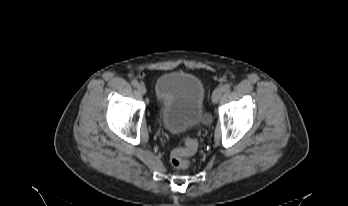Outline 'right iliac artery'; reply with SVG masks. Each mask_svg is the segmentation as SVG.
Segmentation results:
<instances>
[{
  "instance_id": "obj_1",
  "label": "right iliac artery",
  "mask_w": 348,
  "mask_h": 206,
  "mask_svg": "<svg viewBox=\"0 0 348 206\" xmlns=\"http://www.w3.org/2000/svg\"><path fill=\"white\" fill-rule=\"evenodd\" d=\"M131 83L134 87H137L139 85V82L137 80H132Z\"/></svg>"
}]
</instances>
